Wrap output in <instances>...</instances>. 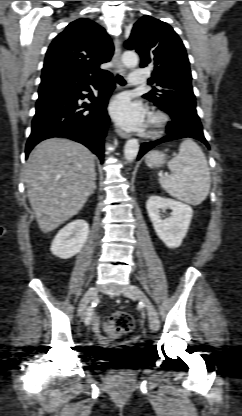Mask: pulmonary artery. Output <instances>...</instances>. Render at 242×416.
<instances>
[{
	"label": "pulmonary artery",
	"instance_id": "e3ab8cb5",
	"mask_svg": "<svg viewBox=\"0 0 242 416\" xmlns=\"http://www.w3.org/2000/svg\"><path fill=\"white\" fill-rule=\"evenodd\" d=\"M145 80L144 69H134L129 76V83L133 86L140 85Z\"/></svg>",
	"mask_w": 242,
	"mask_h": 416
}]
</instances>
